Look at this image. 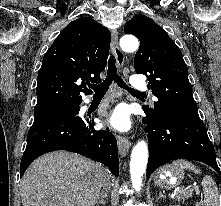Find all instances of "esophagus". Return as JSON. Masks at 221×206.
I'll return each mask as SVG.
<instances>
[{"label": "esophagus", "mask_w": 221, "mask_h": 206, "mask_svg": "<svg viewBox=\"0 0 221 206\" xmlns=\"http://www.w3.org/2000/svg\"><path fill=\"white\" fill-rule=\"evenodd\" d=\"M112 50L117 61V66L119 68H122L124 65L125 56L119 47L118 31L116 29L112 30ZM116 140L118 144L119 153L123 157L126 156L131 146L130 141L128 140V138L121 135H116Z\"/></svg>", "instance_id": "34e87169"}]
</instances>
